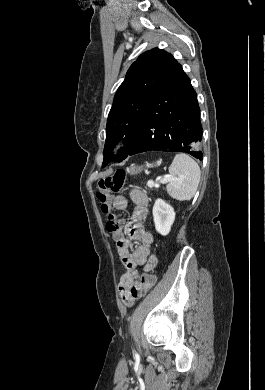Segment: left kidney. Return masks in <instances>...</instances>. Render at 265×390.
Returning a JSON list of instances; mask_svg holds the SVG:
<instances>
[{
    "mask_svg": "<svg viewBox=\"0 0 265 390\" xmlns=\"http://www.w3.org/2000/svg\"><path fill=\"white\" fill-rule=\"evenodd\" d=\"M155 229L163 236L169 234L175 220L173 207L162 199H157L153 206Z\"/></svg>",
    "mask_w": 265,
    "mask_h": 390,
    "instance_id": "5707ae66",
    "label": "left kidney"
}]
</instances>
